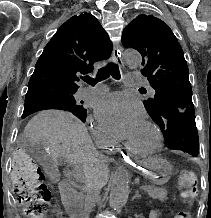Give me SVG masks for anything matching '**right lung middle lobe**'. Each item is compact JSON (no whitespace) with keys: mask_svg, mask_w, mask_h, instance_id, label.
Returning a JSON list of instances; mask_svg holds the SVG:
<instances>
[{"mask_svg":"<svg viewBox=\"0 0 211 218\" xmlns=\"http://www.w3.org/2000/svg\"><path fill=\"white\" fill-rule=\"evenodd\" d=\"M76 91L59 93L54 95L45 96L29 102H25L22 118L28 115L47 109H60L72 112L83 122L86 120L87 110L83 108L81 103L75 99L74 94Z\"/></svg>","mask_w":211,"mask_h":218,"instance_id":"right-lung-middle-lobe-1","label":"right lung middle lobe"}]
</instances>
